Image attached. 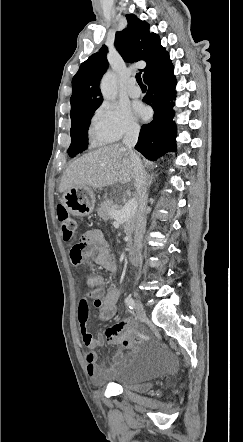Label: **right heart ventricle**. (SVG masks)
Here are the masks:
<instances>
[{"label":"right heart ventricle","instance_id":"right-heart-ventricle-1","mask_svg":"<svg viewBox=\"0 0 243 442\" xmlns=\"http://www.w3.org/2000/svg\"><path fill=\"white\" fill-rule=\"evenodd\" d=\"M89 137L93 145L99 146L108 143V141L104 137H102L93 127H91L90 129Z\"/></svg>","mask_w":243,"mask_h":442}]
</instances>
